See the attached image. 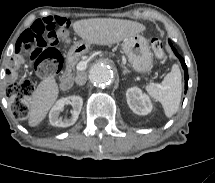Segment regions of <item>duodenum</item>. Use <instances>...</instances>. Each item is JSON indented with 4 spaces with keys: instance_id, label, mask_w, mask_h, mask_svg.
Listing matches in <instances>:
<instances>
[{
    "instance_id": "410a0bca",
    "label": "duodenum",
    "mask_w": 215,
    "mask_h": 183,
    "mask_svg": "<svg viewBox=\"0 0 215 183\" xmlns=\"http://www.w3.org/2000/svg\"><path fill=\"white\" fill-rule=\"evenodd\" d=\"M60 88L63 90V91H68L72 88V85H73V79H72V76L69 72V66H67L62 74H61V77H60Z\"/></svg>"
}]
</instances>
